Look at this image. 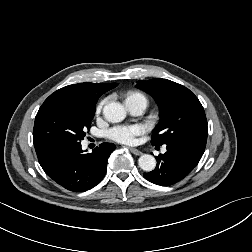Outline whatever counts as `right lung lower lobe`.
Masks as SVG:
<instances>
[{
  "mask_svg": "<svg viewBox=\"0 0 252 252\" xmlns=\"http://www.w3.org/2000/svg\"><path fill=\"white\" fill-rule=\"evenodd\" d=\"M35 150L42 169L64 188L83 192L96 186L107 170V160L115 145L102 143L92 153H84L80 142L41 143Z\"/></svg>",
  "mask_w": 252,
  "mask_h": 252,
  "instance_id": "right-lung-lower-lobe-1",
  "label": "right lung lower lobe"
}]
</instances>
